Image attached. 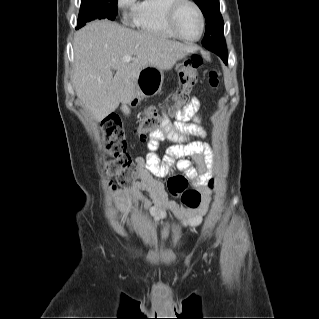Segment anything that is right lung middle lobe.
Returning a JSON list of instances; mask_svg holds the SVG:
<instances>
[{
    "instance_id": "1",
    "label": "right lung middle lobe",
    "mask_w": 319,
    "mask_h": 319,
    "mask_svg": "<svg viewBox=\"0 0 319 319\" xmlns=\"http://www.w3.org/2000/svg\"><path fill=\"white\" fill-rule=\"evenodd\" d=\"M118 0H81L78 27L81 28L86 22L95 19L114 20L117 15Z\"/></svg>"
}]
</instances>
